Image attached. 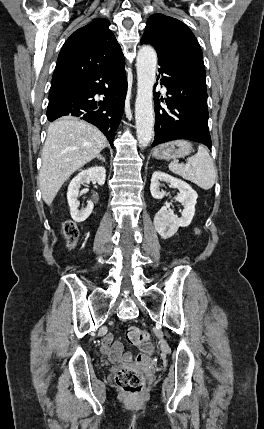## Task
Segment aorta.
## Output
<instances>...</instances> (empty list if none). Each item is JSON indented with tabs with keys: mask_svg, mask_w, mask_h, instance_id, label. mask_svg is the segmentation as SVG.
Segmentation results:
<instances>
[{
	"mask_svg": "<svg viewBox=\"0 0 264 429\" xmlns=\"http://www.w3.org/2000/svg\"><path fill=\"white\" fill-rule=\"evenodd\" d=\"M156 65L155 50L148 45L142 46L137 54V97L135 102L136 134L142 147L149 144L154 133L153 87Z\"/></svg>",
	"mask_w": 264,
	"mask_h": 429,
	"instance_id": "762f6f07",
	"label": "aorta"
}]
</instances>
